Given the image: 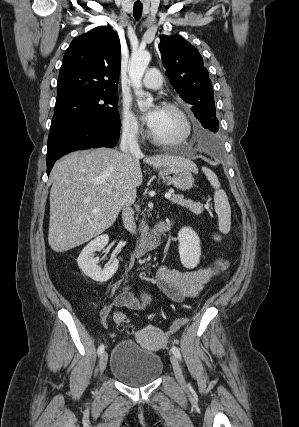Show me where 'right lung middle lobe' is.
I'll use <instances>...</instances> for the list:
<instances>
[{"label":"right lung middle lobe","mask_w":299,"mask_h":427,"mask_svg":"<svg viewBox=\"0 0 299 427\" xmlns=\"http://www.w3.org/2000/svg\"><path fill=\"white\" fill-rule=\"evenodd\" d=\"M116 92H88L57 100L50 129L75 121L95 122L120 128Z\"/></svg>","instance_id":"1"}]
</instances>
